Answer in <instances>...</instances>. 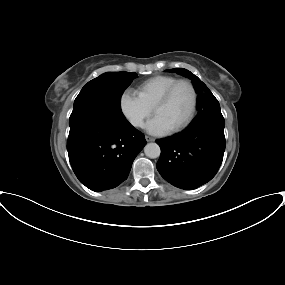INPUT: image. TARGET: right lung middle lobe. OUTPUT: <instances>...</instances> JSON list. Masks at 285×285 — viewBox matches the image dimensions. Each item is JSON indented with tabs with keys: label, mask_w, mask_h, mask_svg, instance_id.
<instances>
[{
	"label": "right lung middle lobe",
	"mask_w": 285,
	"mask_h": 285,
	"mask_svg": "<svg viewBox=\"0 0 285 285\" xmlns=\"http://www.w3.org/2000/svg\"><path fill=\"white\" fill-rule=\"evenodd\" d=\"M136 76L134 72H107L88 82L74 101L69 125L92 115L125 121L120 100Z\"/></svg>",
	"instance_id": "obj_1"
}]
</instances>
